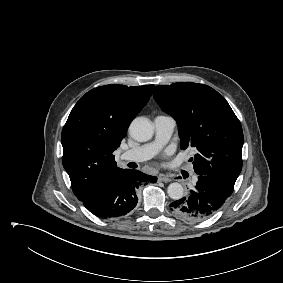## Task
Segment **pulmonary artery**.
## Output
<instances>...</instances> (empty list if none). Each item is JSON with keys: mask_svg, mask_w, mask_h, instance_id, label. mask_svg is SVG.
Segmentation results:
<instances>
[{"mask_svg": "<svg viewBox=\"0 0 283 283\" xmlns=\"http://www.w3.org/2000/svg\"><path fill=\"white\" fill-rule=\"evenodd\" d=\"M175 120L167 115H159L154 119L155 139L142 146L130 149L121 155L123 162H142L152 158L170 139Z\"/></svg>", "mask_w": 283, "mask_h": 283, "instance_id": "pulmonary-artery-1", "label": "pulmonary artery"}]
</instances>
